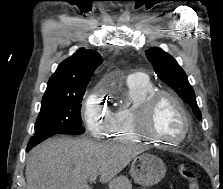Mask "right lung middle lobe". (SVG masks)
<instances>
[{"instance_id":"right-lung-middle-lobe-1","label":"right lung middle lobe","mask_w":223,"mask_h":189,"mask_svg":"<svg viewBox=\"0 0 223 189\" xmlns=\"http://www.w3.org/2000/svg\"><path fill=\"white\" fill-rule=\"evenodd\" d=\"M85 91L82 88L69 94H44L34 137L48 134H83L85 129L81 124L80 110Z\"/></svg>"}]
</instances>
